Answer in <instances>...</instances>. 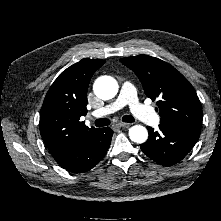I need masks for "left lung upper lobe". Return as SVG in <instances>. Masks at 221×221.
<instances>
[{"mask_svg": "<svg viewBox=\"0 0 221 221\" xmlns=\"http://www.w3.org/2000/svg\"><path fill=\"white\" fill-rule=\"evenodd\" d=\"M141 81L145 94L157 99L160 124L200 129L203 119L199 98L188 80L170 64L148 55L122 58Z\"/></svg>", "mask_w": 221, "mask_h": 221, "instance_id": "left-lung-upper-lobe-1", "label": "left lung upper lobe"}]
</instances>
